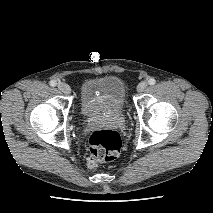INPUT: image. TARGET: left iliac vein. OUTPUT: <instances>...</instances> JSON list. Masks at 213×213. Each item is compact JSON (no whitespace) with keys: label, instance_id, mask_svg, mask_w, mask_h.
<instances>
[{"label":"left iliac vein","instance_id":"1","mask_svg":"<svg viewBox=\"0 0 213 213\" xmlns=\"http://www.w3.org/2000/svg\"><path fill=\"white\" fill-rule=\"evenodd\" d=\"M147 87V82L146 81H141L138 85H137V91L138 92H142L144 91V89Z\"/></svg>","mask_w":213,"mask_h":213}]
</instances>
